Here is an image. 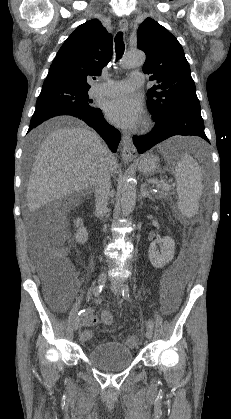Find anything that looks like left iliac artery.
Masks as SVG:
<instances>
[{"label": "left iliac artery", "mask_w": 231, "mask_h": 419, "mask_svg": "<svg viewBox=\"0 0 231 419\" xmlns=\"http://www.w3.org/2000/svg\"><path fill=\"white\" fill-rule=\"evenodd\" d=\"M129 295H130V289H129L128 284H126L122 289V296L124 299H128ZM147 325L150 329L154 328V323L152 320H148Z\"/></svg>", "instance_id": "left-iliac-artery-1"}]
</instances>
